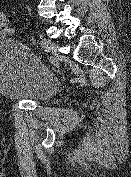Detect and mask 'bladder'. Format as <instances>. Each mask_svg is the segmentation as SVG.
Segmentation results:
<instances>
[{
	"mask_svg": "<svg viewBox=\"0 0 131 177\" xmlns=\"http://www.w3.org/2000/svg\"><path fill=\"white\" fill-rule=\"evenodd\" d=\"M58 79L39 59L13 39L0 42V95L12 101L37 104L59 89Z\"/></svg>",
	"mask_w": 131,
	"mask_h": 177,
	"instance_id": "31cf9c89",
	"label": "bladder"
}]
</instances>
